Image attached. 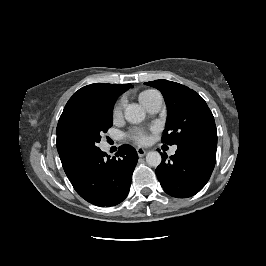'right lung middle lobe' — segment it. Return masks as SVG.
<instances>
[{"label": "right lung middle lobe", "mask_w": 266, "mask_h": 266, "mask_svg": "<svg viewBox=\"0 0 266 266\" xmlns=\"http://www.w3.org/2000/svg\"><path fill=\"white\" fill-rule=\"evenodd\" d=\"M114 102L98 105L74 120L63 135L64 148L71 154L90 157L100 149L101 134L112 126Z\"/></svg>", "instance_id": "dd1d6c3e"}]
</instances>
